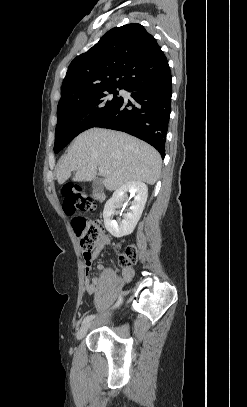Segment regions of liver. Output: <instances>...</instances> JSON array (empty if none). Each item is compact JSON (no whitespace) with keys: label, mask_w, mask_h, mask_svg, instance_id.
<instances>
[{"label":"liver","mask_w":247,"mask_h":407,"mask_svg":"<svg viewBox=\"0 0 247 407\" xmlns=\"http://www.w3.org/2000/svg\"><path fill=\"white\" fill-rule=\"evenodd\" d=\"M161 163L160 154L144 141L126 133L93 128L73 140L56 175L58 183L63 184L76 171L73 181L88 182L102 168L103 184L113 191L130 181L155 184Z\"/></svg>","instance_id":"1"}]
</instances>
